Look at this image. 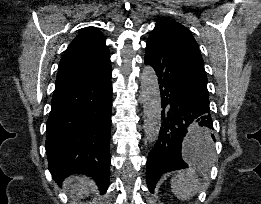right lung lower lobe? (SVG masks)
<instances>
[{"mask_svg": "<svg viewBox=\"0 0 261 204\" xmlns=\"http://www.w3.org/2000/svg\"><path fill=\"white\" fill-rule=\"evenodd\" d=\"M55 86L45 144L49 171L58 184L75 173L92 176L105 193L110 165L111 62L57 78Z\"/></svg>", "mask_w": 261, "mask_h": 204, "instance_id": "right-lung-lower-lobe-1", "label": "right lung lower lobe"}]
</instances>
